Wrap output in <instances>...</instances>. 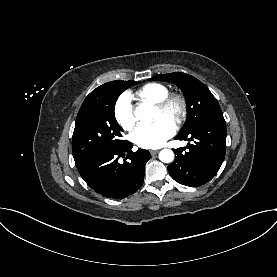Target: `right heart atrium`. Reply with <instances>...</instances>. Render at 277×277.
Returning a JSON list of instances; mask_svg holds the SVG:
<instances>
[{"mask_svg": "<svg viewBox=\"0 0 277 277\" xmlns=\"http://www.w3.org/2000/svg\"><path fill=\"white\" fill-rule=\"evenodd\" d=\"M114 116L123 129L130 130L135 125L133 104L128 94L124 93L117 99L114 106Z\"/></svg>", "mask_w": 277, "mask_h": 277, "instance_id": "obj_1", "label": "right heart atrium"}]
</instances>
